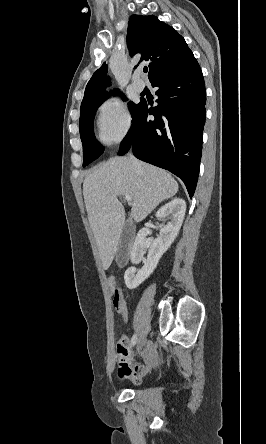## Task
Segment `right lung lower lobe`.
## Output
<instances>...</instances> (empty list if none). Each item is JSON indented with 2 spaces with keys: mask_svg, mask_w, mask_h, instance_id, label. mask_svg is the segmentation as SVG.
I'll use <instances>...</instances> for the list:
<instances>
[{
  "mask_svg": "<svg viewBox=\"0 0 266 444\" xmlns=\"http://www.w3.org/2000/svg\"><path fill=\"white\" fill-rule=\"evenodd\" d=\"M158 105L151 109L142 102L133 118L118 155L130 148L142 161L177 175L192 197L197 185L206 93L200 66L194 58L188 64L155 77ZM148 115L155 117L154 121Z\"/></svg>",
  "mask_w": 266,
  "mask_h": 444,
  "instance_id": "98d812e1",
  "label": "right lung lower lobe"
}]
</instances>
